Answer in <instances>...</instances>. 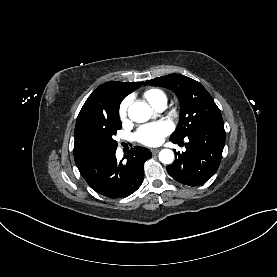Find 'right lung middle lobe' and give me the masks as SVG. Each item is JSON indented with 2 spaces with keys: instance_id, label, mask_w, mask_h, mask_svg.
I'll return each mask as SVG.
<instances>
[{
  "instance_id": "dd1d6c3e",
  "label": "right lung middle lobe",
  "mask_w": 277,
  "mask_h": 277,
  "mask_svg": "<svg viewBox=\"0 0 277 277\" xmlns=\"http://www.w3.org/2000/svg\"><path fill=\"white\" fill-rule=\"evenodd\" d=\"M119 129H121V121L118 113L108 119L92 120L83 127L81 140L94 156L108 153L117 148V141L113 136Z\"/></svg>"
}]
</instances>
